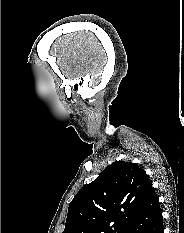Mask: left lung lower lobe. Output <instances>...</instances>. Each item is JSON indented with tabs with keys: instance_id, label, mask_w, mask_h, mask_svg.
Listing matches in <instances>:
<instances>
[{
	"instance_id": "1",
	"label": "left lung lower lobe",
	"mask_w": 184,
	"mask_h": 233,
	"mask_svg": "<svg viewBox=\"0 0 184 233\" xmlns=\"http://www.w3.org/2000/svg\"><path fill=\"white\" fill-rule=\"evenodd\" d=\"M129 233H164L162 211L155 190L150 193Z\"/></svg>"
}]
</instances>
